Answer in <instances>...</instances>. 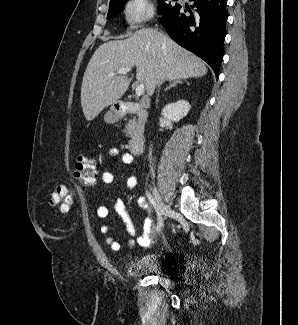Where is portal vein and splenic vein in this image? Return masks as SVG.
<instances>
[{"label": "portal vein and splenic vein", "instance_id": "18ae733b", "mask_svg": "<svg viewBox=\"0 0 298 325\" xmlns=\"http://www.w3.org/2000/svg\"><path fill=\"white\" fill-rule=\"evenodd\" d=\"M130 70L131 68H119V70H116V72H110L108 76H115V74H126V72H130ZM135 92L137 96H141V94H144L145 92L144 84H137Z\"/></svg>", "mask_w": 298, "mask_h": 325}]
</instances>
